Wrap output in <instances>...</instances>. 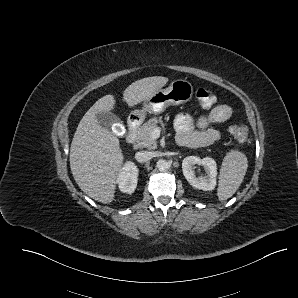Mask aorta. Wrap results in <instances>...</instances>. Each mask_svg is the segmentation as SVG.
I'll list each match as a JSON object with an SVG mask.
<instances>
[{"label":"aorta","mask_w":298,"mask_h":298,"mask_svg":"<svg viewBox=\"0 0 298 298\" xmlns=\"http://www.w3.org/2000/svg\"><path fill=\"white\" fill-rule=\"evenodd\" d=\"M156 167L160 172H164L170 168V164L166 159H159L156 162Z\"/></svg>","instance_id":"762f6f07"}]
</instances>
